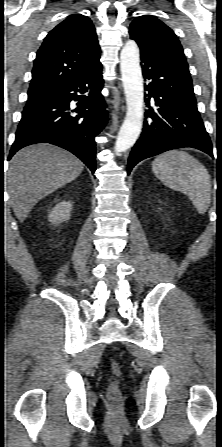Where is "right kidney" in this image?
<instances>
[{"instance_id": "obj_1", "label": "right kidney", "mask_w": 222, "mask_h": 447, "mask_svg": "<svg viewBox=\"0 0 222 447\" xmlns=\"http://www.w3.org/2000/svg\"><path fill=\"white\" fill-rule=\"evenodd\" d=\"M71 210L72 204L70 202L61 201L49 211V221L53 225H58L64 221H67L70 218Z\"/></svg>"}]
</instances>
